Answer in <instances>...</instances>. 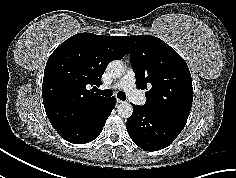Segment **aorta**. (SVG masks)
Wrapping results in <instances>:
<instances>
[{"instance_id": "762f6f07", "label": "aorta", "mask_w": 236, "mask_h": 178, "mask_svg": "<svg viewBox=\"0 0 236 178\" xmlns=\"http://www.w3.org/2000/svg\"><path fill=\"white\" fill-rule=\"evenodd\" d=\"M108 72L113 77H119L124 73V65L120 60H114L108 64ZM117 112L122 118H129L133 114V106L128 102H122L117 106Z\"/></svg>"}]
</instances>
